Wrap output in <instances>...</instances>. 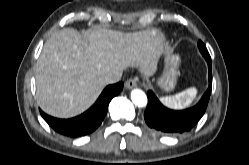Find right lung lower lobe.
<instances>
[{"label":"right lung lower lobe","instance_id":"obj_1","mask_svg":"<svg viewBox=\"0 0 249 165\" xmlns=\"http://www.w3.org/2000/svg\"><path fill=\"white\" fill-rule=\"evenodd\" d=\"M123 89V83L108 85L97 101L83 114L71 119H58L40 110L42 117L56 132L68 137H80L95 131L106 116L111 99Z\"/></svg>","mask_w":249,"mask_h":165}]
</instances>
